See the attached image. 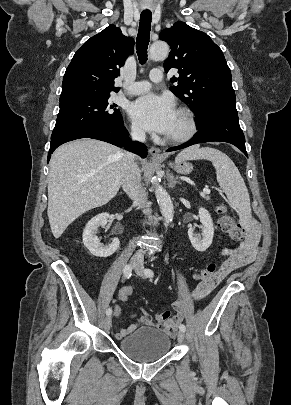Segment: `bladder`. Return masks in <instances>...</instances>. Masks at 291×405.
<instances>
[{"label":"bladder","mask_w":291,"mask_h":405,"mask_svg":"<svg viewBox=\"0 0 291 405\" xmlns=\"http://www.w3.org/2000/svg\"><path fill=\"white\" fill-rule=\"evenodd\" d=\"M170 338L153 327H141L123 337L118 349L139 363H150L163 358L170 349Z\"/></svg>","instance_id":"obj_1"}]
</instances>
